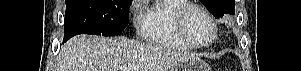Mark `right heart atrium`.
I'll return each mask as SVG.
<instances>
[{"instance_id": "obj_1", "label": "right heart atrium", "mask_w": 301, "mask_h": 71, "mask_svg": "<svg viewBox=\"0 0 301 71\" xmlns=\"http://www.w3.org/2000/svg\"><path fill=\"white\" fill-rule=\"evenodd\" d=\"M139 2H140V1H134V2H133V5H132L131 10H130V13H131V14H134V13H135L136 7H137V5H138Z\"/></svg>"}]
</instances>
